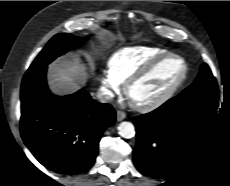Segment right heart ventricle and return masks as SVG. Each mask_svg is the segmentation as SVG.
I'll return each mask as SVG.
<instances>
[{"mask_svg":"<svg viewBox=\"0 0 230 186\" xmlns=\"http://www.w3.org/2000/svg\"><path fill=\"white\" fill-rule=\"evenodd\" d=\"M167 53L165 49L151 46L127 47L115 52L109 60V72L120 82L142 69L154 58Z\"/></svg>","mask_w":230,"mask_h":186,"instance_id":"1","label":"right heart ventricle"}]
</instances>
